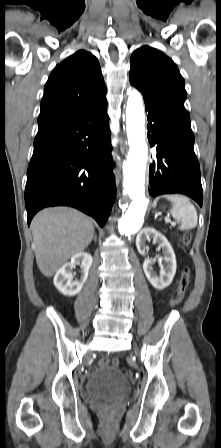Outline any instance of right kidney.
Returning a JSON list of instances; mask_svg holds the SVG:
<instances>
[{
	"instance_id": "obj_1",
	"label": "right kidney",
	"mask_w": 221,
	"mask_h": 448,
	"mask_svg": "<svg viewBox=\"0 0 221 448\" xmlns=\"http://www.w3.org/2000/svg\"><path fill=\"white\" fill-rule=\"evenodd\" d=\"M81 265L82 275L80 279L73 280L72 269ZM92 265V256L86 252H80L72 256L71 262L65 263L56 273L53 283L55 287L66 296H74L79 293L87 280L89 269Z\"/></svg>"
}]
</instances>
